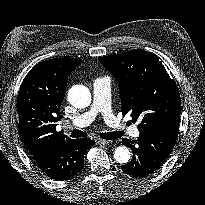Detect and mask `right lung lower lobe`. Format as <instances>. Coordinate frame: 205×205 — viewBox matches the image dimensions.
Listing matches in <instances>:
<instances>
[{
    "instance_id": "obj_1",
    "label": "right lung lower lobe",
    "mask_w": 205,
    "mask_h": 205,
    "mask_svg": "<svg viewBox=\"0 0 205 205\" xmlns=\"http://www.w3.org/2000/svg\"><path fill=\"white\" fill-rule=\"evenodd\" d=\"M95 142L89 138L70 139L33 156L34 163L48 177L57 181L72 179L83 168L84 155Z\"/></svg>"
}]
</instances>
